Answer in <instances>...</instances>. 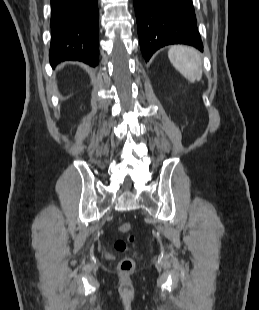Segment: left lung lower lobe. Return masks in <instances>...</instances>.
<instances>
[{"label":"left lung lower lobe","instance_id":"1","mask_svg":"<svg viewBox=\"0 0 259 310\" xmlns=\"http://www.w3.org/2000/svg\"><path fill=\"white\" fill-rule=\"evenodd\" d=\"M138 36L146 61L169 44H186L203 51L192 0H133Z\"/></svg>","mask_w":259,"mask_h":310}]
</instances>
